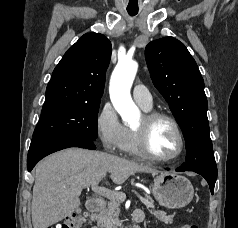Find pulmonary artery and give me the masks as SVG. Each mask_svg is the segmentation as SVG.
I'll return each instance as SVG.
<instances>
[{
	"instance_id": "e3ab8cb5",
	"label": "pulmonary artery",
	"mask_w": 238,
	"mask_h": 228,
	"mask_svg": "<svg viewBox=\"0 0 238 228\" xmlns=\"http://www.w3.org/2000/svg\"><path fill=\"white\" fill-rule=\"evenodd\" d=\"M132 95L136 103H138L143 109H151L152 96L148 88L142 84H137L133 87Z\"/></svg>"
}]
</instances>
